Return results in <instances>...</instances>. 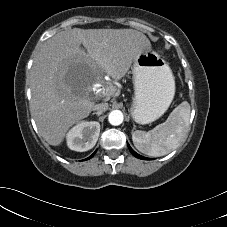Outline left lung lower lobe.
Masks as SVG:
<instances>
[{
  "mask_svg": "<svg viewBox=\"0 0 227 227\" xmlns=\"http://www.w3.org/2000/svg\"><path fill=\"white\" fill-rule=\"evenodd\" d=\"M128 145V148L129 150L131 151V153L136 157V158H139V159H143V160H148V158H145L143 156H140L139 154H137L131 147L130 145L127 143Z\"/></svg>",
  "mask_w": 227,
  "mask_h": 227,
  "instance_id": "0a47b994",
  "label": "left lung lower lobe"
}]
</instances>
